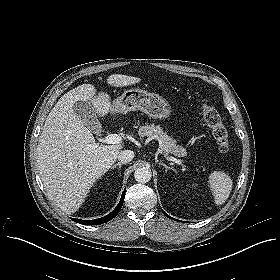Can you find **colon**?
<instances>
[{
  "label": "colon",
  "instance_id": "colon-1",
  "mask_svg": "<svg viewBox=\"0 0 280 280\" xmlns=\"http://www.w3.org/2000/svg\"><path fill=\"white\" fill-rule=\"evenodd\" d=\"M201 111L203 121L211 130L219 152L224 155L227 154L230 149L229 134L223 124L221 115L214 107L207 104L202 106Z\"/></svg>",
  "mask_w": 280,
  "mask_h": 280
}]
</instances>
